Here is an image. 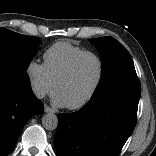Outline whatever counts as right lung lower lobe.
Wrapping results in <instances>:
<instances>
[{"label": "right lung lower lobe", "mask_w": 156, "mask_h": 156, "mask_svg": "<svg viewBox=\"0 0 156 156\" xmlns=\"http://www.w3.org/2000/svg\"><path fill=\"white\" fill-rule=\"evenodd\" d=\"M43 109L30 81L0 76V156L12 151L24 125Z\"/></svg>", "instance_id": "right-lung-lower-lobe-1"}]
</instances>
